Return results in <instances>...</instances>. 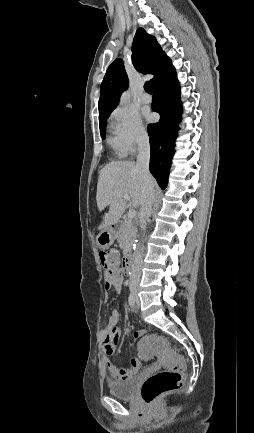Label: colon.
I'll return each instance as SVG.
<instances>
[{
	"instance_id": "5ec220e1",
	"label": "colon",
	"mask_w": 254,
	"mask_h": 433,
	"mask_svg": "<svg viewBox=\"0 0 254 433\" xmlns=\"http://www.w3.org/2000/svg\"><path fill=\"white\" fill-rule=\"evenodd\" d=\"M100 261L108 277L122 276V266L116 250L100 253ZM166 340L158 336L147 337L141 344L143 349L165 347ZM185 363L182 359L171 356L170 365L150 376L142 385L141 396L146 403H153L164 394L180 388L183 384Z\"/></svg>"
}]
</instances>
